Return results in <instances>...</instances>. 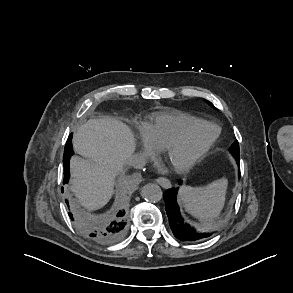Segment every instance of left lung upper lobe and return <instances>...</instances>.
Returning <instances> with one entry per match:
<instances>
[{"label": "left lung upper lobe", "instance_id": "5c2ea615", "mask_svg": "<svg viewBox=\"0 0 293 293\" xmlns=\"http://www.w3.org/2000/svg\"><path fill=\"white\" fill-rule=\"evenodd\" d=\"M210 106L214 107L212 103L208 102ZM230 152L233 154L235 159H239L240 154H239V143L238 141H235L231 147H230Z\"/></svg>", "mask_w": 293, "mask_h": 293}]
</instances>
